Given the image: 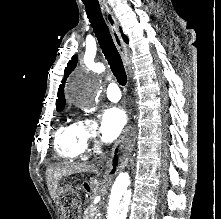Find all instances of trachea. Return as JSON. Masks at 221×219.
Segmentation results:
<instances>
[{"label":"trachea","instance_id":"obj_1","mask_svg":"<svg viewBox=\"0 0 221 219\" xmlns=\"http://www.w3.org/2000/svg\"><path fill=\"white\" fill-rule=\"evenodd\" d=\"M89 22L99 42L100 48L107 59L111 71L120 85L127 82L125 68L121 56L113 42L112 36L101 14L98 2L84 3Z\"/></svg>","mask_w":221,"mask_h":219}]
</instances>
